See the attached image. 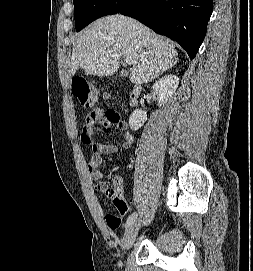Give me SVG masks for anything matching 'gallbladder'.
Wrapping results in <instances>:
<instances>
[{
	"label": "gallbladder",
	"mask_w": 253,
	"mask_h": 271,
	"mask_svg": "<svg viewBox=\"0 0 253 271\" xmlns=\"http://www.w3.org/2000/svg\"><path fill=\"white\" fill-rule=\"evenodd\" d=\"M128 75V72L126 71V70H122L121 72H120V76L121 77H126Z\"/></svg>",
	"instance_id": "obj_1"
}]
</instances>
